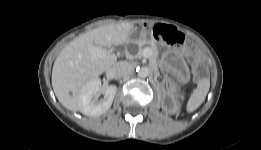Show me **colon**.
<instances>
[{"mask_svg":"<svg viewBox=\"0 0 261 150\" xmlns=\"http://www.w3.org/2000/svg\"><path fill=\"white\" fill-rule=\"evenodd\" d=\"M152 32L157 40L172 46H178L184 42V36L168 26L156 25L153 27Z\"/></svg>","mask_w":261,"mask_h":150,"instance_id":"1","label":"colon"}]
</instances>
